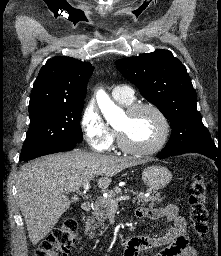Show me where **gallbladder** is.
Returning <instances> with one entry per match:
<instances>
[{
    "label": "gallbladder",
    "mask_w": 221,
    "mask_h": 256,
    "mask_svg": "<svg viewBox=\"0 0 221 256\" xmlns=\"http://www.w3.org/2000/svg\"><path fill=\"white\" fill-rule=\"evenodd\" d=\"M72 200H73V202H76L78 199H77V197H73Z\"/></svg>",
    "instance_id": "gallbladder-1"
}]
</instances>
